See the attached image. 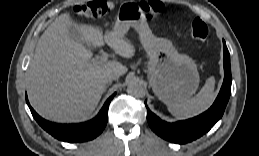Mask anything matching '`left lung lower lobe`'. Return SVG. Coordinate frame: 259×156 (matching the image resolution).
Returning <instances> with one entry per match:
<instances>
[{
  "instance_id": "left-lung-lower-lobe-1",
  "label": "left lung lower lobe",
  "mask_w": 259,
  "mask_h": 156,
  "mask_svg": "<svg viewBox=\"0 0 259 156\" xmlns=\"http://www.w3.org/2000/svg\"><path fill=\"white\" fill-rule=\"evenodd\" d=\"M224 46V81L221 90L209 110L203 114L175 123L161 120L147 107V121L151 129L160 137L177 144L191 142L206 132L222 117L231 94L230 54L223 40Z\"/></svg>"
}]
</instances>
